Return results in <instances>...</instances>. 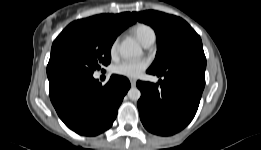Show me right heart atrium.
Here are the masks:
<instances>
[{
	"instance_id": "obj_1",
	"label": "right heart atrium",
	"mask_w": 261,
	"mask_h": 150,
	"mask_svg": "<svg viewBox=\"0 0 261 150\" xmlns=\"http://www.w3.org/2000/svg\"><path fill=\"white\" fill-rule=\"evenodd\" d=\"M117 50H118V40L115 39V40L112 42L111 46H110V55H111L112 57H115V56L117 55Z\"/></svg>"
}]
</instances>
